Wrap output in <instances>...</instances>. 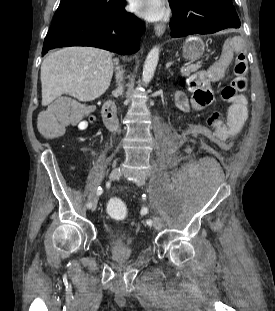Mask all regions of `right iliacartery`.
I'll list each match as a JSON object with an SVG mask.
<instances>
[{
  "label": "right iliac artery",
  "instance_id": "obj_1",
  "mask_svg": "<svg viewBox=\"0 0 275 311\" xmlns=\"http://www.w3.org/2000/svg\"><path fill=\"white\" fill-rule=\"evenodd\" d=\"M108 185H110V183H108ZM103 193V189L101 187H98L97 191H96V194L99 196ZM87 207L88 208H91L92 207V203H88L87 204Z\"/></svg>",
  "mask_w": 275,
  "mask_h": 311
}]
</instances>
